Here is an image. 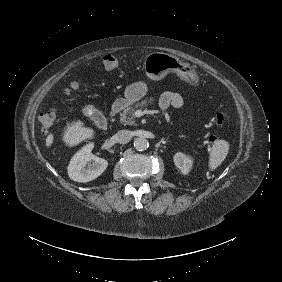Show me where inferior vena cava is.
<instances>
[{
	"label": "inferior vena cava",
	"instance_id": "602c4592",
	"mask_svg": "<svg viewBox=\"0 0 282 282\" xmlns=\"http://www.w3.org/2000/svg\"><path fill=\"white\" fill-rule=\"evenodd\" d=\"M115 137L118 143L126 144L131 140V133L128 130H120Z\"/></svg>",
	"mask_w": 282,
	"mask_h": 282
}]
</instances>
